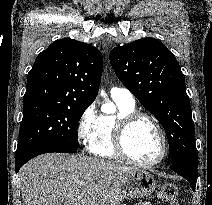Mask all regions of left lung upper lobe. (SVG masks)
Segmentation results:
<instances>
[{"mask_svg": "<svg viewBox=\"0 0 212 205\" xmlns=\"http://www.w3.org/2000/svg\"><path fill=\"white\" fill-rule=\"evenodd\" d=\"M119 80L165 129L172 165L198 159L185 78L174 54L155 38H143L110 52Z\"/></svg>", "mask_w": 212, "mask_h": 205, "instance_id": "1", "label": "left lung upper lobe"}]
</instances>
